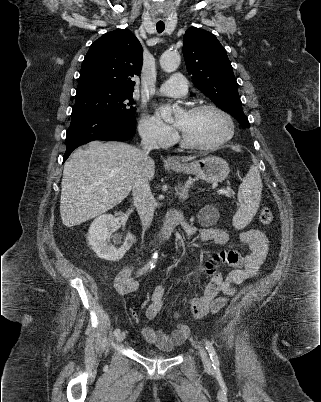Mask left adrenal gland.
<instances>
[{
	"mask_svg": "<svg viewBox=\"0 0 321 402\" xmlns=\"http://www.w3.org/2000/svg\"><path fill=\"white\" fill-rule=\"evenodd\" d=\"M189 190H190V186H182L181 187L180 185H178V187L175 188L176 195H178L181 200L188 199Z\"/></svg>",
	"mask_w": 321,
	"mask_h": 402,
	"instance_id": "left-adrenal-gland-1",
	"label": "left adrenal gland"
}]
</instances>
